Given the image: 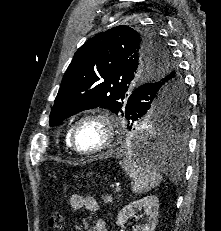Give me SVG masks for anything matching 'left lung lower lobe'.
I'll return each mask as SVG.
<instances>
[{"mask_svg":"<svg viewBox=\"0 0 221 231\" xmlns=\"http://www.w3.org/2000/svg\"><path fill=\"white\" fill-rule=\"evenodd\" d=\"M150 88H156V85H148L147 89ZM182 90L185 92V88L182 86ZM143 89L137 88L135 89L132 94L128 98V102L130 104L134 105L138 103L141 93ZM186 95V93H185ZM187 99V97H186ZM176 102V105H178L179 99ZM126 119L128 120V129L131 130V126L133 123L137 120L138 114H134L131 112ZM132 141L135 143L137 142L139 145L143 146L142 153L147 154L150 151H153V149H158L164 152V154L167 156L166 162L170 163L173 160H177L180 157L183 156L186 150V141L184 138V135L182 132H177L173 135H158L157 133H150V132H143V133H137L132 136ZM153 158V157H151ZM153 160H156V158H153ZM152 160V161H153ZM160 162V161H159Z\"/></svg>","mask_w":221,"mask_h":231,"instance_id":"0a47b994","label":"left lung lower lobe"}]
</instances>
